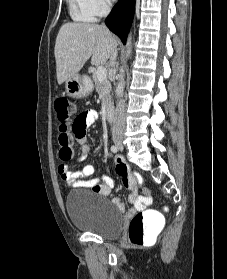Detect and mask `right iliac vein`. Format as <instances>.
Returning a JSON list of instances; mask_svg holds the SVG:
<instances>
[{"mask_svg":"<svg viewBox=\"0 0 227 279\" xmlns=\"http://www.w3.org/2000/svg\"><path fill=\"white\" fill-rule=\"evenodd\" d=\"M114 143H115V145H116L117 147H119V148H122V147H123V145H122V140L119 139V138H115Z\"/></svg>","mask_w":227,"mask_h":279,"instance_id":"63e3f726","label":"right iliac vein"}]
</instances>
